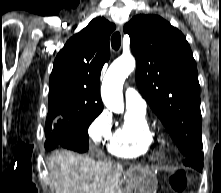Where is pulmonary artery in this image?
<instances>
[{
  "label": "pulmonary artery",
  "instance_id": "obj_1",
  "mask_svg": "<svg viewBox=\"0 0 221 193\" xmlns=\"http://www.w3.org/2000/svg\"><path fill=\"white\" fill-rule=\"evenodd\" d=\"M126 107L129 110L138 112L146 111V103L141 95L133 88H127L125 91Z\"/></svg>",
  "mask_w": 221,
  "mask_h": 193
}]
</instances>
